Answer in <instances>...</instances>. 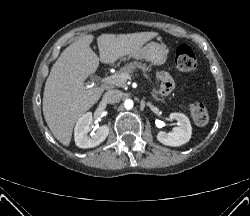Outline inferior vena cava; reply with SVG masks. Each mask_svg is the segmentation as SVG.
<instances>
[{"mask_svg": "<svg viewBox=\"0 0 250 216\" xmlns=\"http://www.w3.org/2000/svg\"><path fill=\"white\" fill-rule=\"evenodd\" d=\"M122 98V92L119 90H109L103 96V99L110 104L117 103Z\"/></svg>", "mask_w": 250, "mask_h": 216, "instance_id": "602c4592", "label": "inferior vena cava"}]
</instances>
